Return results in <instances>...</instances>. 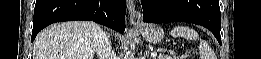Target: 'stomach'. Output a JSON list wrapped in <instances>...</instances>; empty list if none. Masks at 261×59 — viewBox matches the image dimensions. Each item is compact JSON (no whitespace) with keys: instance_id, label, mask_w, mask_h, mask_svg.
<instances>
[{"instance_id":"stomach-1","label":"stomach","mask_w":261,"mask_h":59,"mask_svg":"<svg viewBox=\"0 0 261 59\" xmlns=\"http://www.w3.org/2000/svg\"><path fill=\"white\" fill-rule=\"evenodd\" d=\"M142 36L150 43H159L164 38V31L162 28L154 24H145L140 28Z\"/></svg>"}]
</instances>
